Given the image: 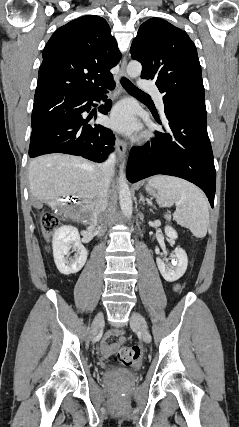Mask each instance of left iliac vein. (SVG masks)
<instances>
[{
	"label": "left iliac vein",
	"instance_id": "4c4485c4",
	"mask_svg": "<svg viewBox=\"0 0 239 427\" xmlns=\"http://www.w3.org/2000/svg\"><path fill=\"white\" fill-rule=\"evenodd\" d=\"M130 325L132 328L137 329L141 332L142 338L146 343L151 342L152 337L148 330L146 321L139 313L132 312L130 317Z\"/></svg>",
	"mask_w": 239,
	"mask_h": 427
}]
</instances>
